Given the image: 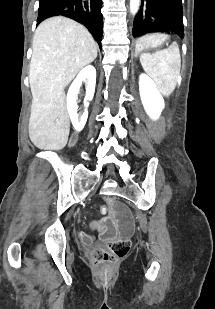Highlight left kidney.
<instances>
[{"label": "left kidney", "mask_w": 215, "mask_h": 309, "mask_svg": "<svg viewBox=\"0 0 215 309\" xmlns=\"http://www.w3.org/2000/svg\"><path fill=\"white\" fill-rule=\"evenodd\" d=\"M139 90L142 104L147 114H149L150 118H154V120L159 118L163 108H165L164 98L147 74H140Z\"/></svg>", "instance_id": "obj_1"}]
</instances>
